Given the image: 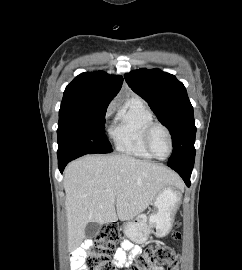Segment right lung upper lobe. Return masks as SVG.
<instances>
[{"instance_id":"right-lung-upper-lobe-1","label":"right lung upper lobe","mask_w":242,"mask_h":270,"mask_svg":"<svg viewBox=\"0 0 242 270\" xmlns=\"http://www.w3.org/2000/svg\"><path fill=\"white\" fill-rule=\"evenodd\" d=\"M122 82V76L108 75L103 71L82 73L66 87L60 109L108 107Z\"/></svg>"}]
</instances>
